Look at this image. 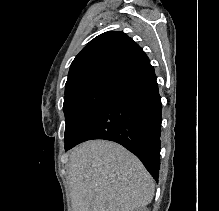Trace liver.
I'll return each instance as SVG.
<instances>
[{
  "label": "liver",
  "instance_id": "obj_1",
  "mask_svg": "<svg viewBox=\"0 0 219 211\" xmlns=\"http://www.w3.org/2000/svg\"><path fill=\"white\" fill-rule=\"evenodd\" d=\"M67 179L73 211H136L154 195L153 177L142 161L108 139L74 147Z\"/></svg>",
  "mask_w": 219,
  "mask_h": 211
}]
</instances>
